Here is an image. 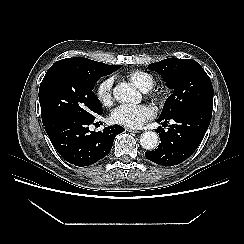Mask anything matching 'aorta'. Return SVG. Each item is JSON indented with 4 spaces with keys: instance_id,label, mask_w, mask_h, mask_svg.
Listing matches in <instances>:
<instances>
[{
    "instance_id": "762f6f07",
    "label": "aorta",
    "mask_w": 244,
    "mask_h": 244,
    "mask_svg": "<svg viewBox=\"0 0 244 244\" xmlns=\"http://www.w3.org/2000/svg\"><path fill=\"white\" fill-rule=\"evenodd\" d=\"M116 100L122 103L137 104L141 101L140 93L126 82H121L113 90ZM140 144L144 149L153 150L158 145V135L154 131H146L140 136Z\"/></svg>"
}]
</instances>
